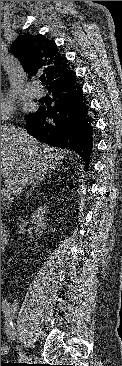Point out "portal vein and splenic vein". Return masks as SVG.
<instances>
[{"label":"portal vein and splenic vein","instance_id":"1","mask_svg":"<svg viewBox=\"0 0 122 366\" xmlns=\"http://www.w3.org/2000/svg\"><path fill=\"white\" fill-rule=\"evenodd\" d=\"M1 195L4 198L10 197L11 193H10L9 188H2L1 189Z\"/></svg>","mask_w":122,"mask_h":366}]
</instances>
